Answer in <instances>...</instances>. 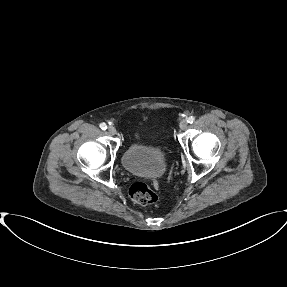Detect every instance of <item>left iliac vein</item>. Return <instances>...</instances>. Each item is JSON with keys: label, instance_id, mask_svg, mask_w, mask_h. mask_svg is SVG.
<instances>
[{"label": "left iliac vein", "instance_id": "1", "mask_svg": "<svg viewBox=\"0 0 287 287\" xmlns=\"http://www.w3.org/2000/svg\"><path fill=\"white\" fill-rule=\"evenodd\" d=\"M187 127H188V122H187L186 119H183V120L180 122V128H181L182 130H185V129H187Z\"/></svg>", "mask_w": 287, "mask_h": 287}]
</instances>
